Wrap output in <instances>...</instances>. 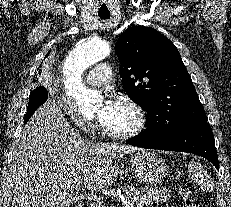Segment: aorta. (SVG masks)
<instances>
[{"label": "aorta", "instance_id": "762f6f07", "mask_svg": "<svg viewBox=\"0 0 231 207\" xmlns=\"http://www.w3.org/2000/svg\"><path fill=\"white\" fill-rule=\"evenodd\" d=\"M110 52L111 49L106 41L91 38L79 43L64 62L66 94L82 112L94 111L96 105L101 102L100 94L82 83V74L90 66L107 58Z\"/></svg>", "mask_w": 231, "mask_h": 207}]
</instances>
